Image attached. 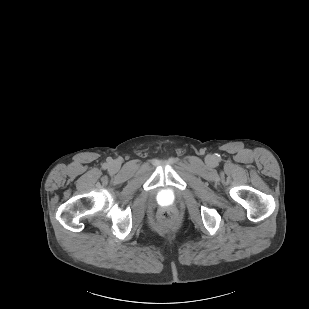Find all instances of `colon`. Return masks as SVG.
<instances>
[{
    "label": "colon",
    "mask_w": 309,
    "mask_h": 309,
    "mask_svg": "<svg viewBox=\"0 0 309 309\" xmlns=\"http://www.w3.org/2000/svg\"><path fill=\"white\" fill-rule=\"evenodd\" d=\"M159 220L162 224L168 225L174 222L175 215L171 211H163L159 215Z\"/></svg>",
    "instance_id": "colon-1"
}]
</instances>
